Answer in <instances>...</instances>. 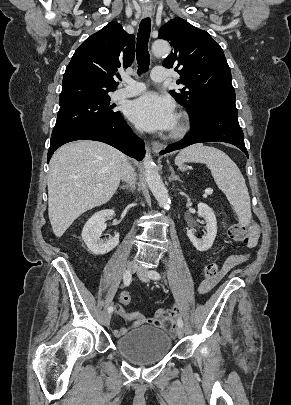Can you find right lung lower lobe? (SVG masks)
<instances>
[{
  "label": "right lung lower lobe",
  "mask_w": 291,
  "mask_h": 405,
  "mask_svg": "<svg viewBox=\"0 0 291 405\" xmlns=\"http://www.w3.org/2000/svg\"><path fill=\"white\" fill-rule=\"evenodd\" d=\"M81 139L107 143L139 161L144 156L143 141L133 133L120 114L119 117L106 124L81 125L53 135L47 162L61 145Z\"/></svg>",
  "instance_id": "1"
}]
</instances>
